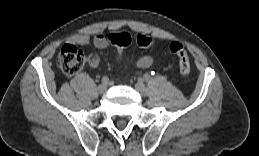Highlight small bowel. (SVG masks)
Wrapping results in <instances>:
<instances>
[{"label": "small bowel", "instance_id": "small-bowel-1", "mask_svg": "<svg viewBox=\"0 0 259 156\" xmlns=\"http://www.w3.org/2000/svg\"><path fill=\"white\" fill-rule=\"evenodd\" d=\"M70 42L79 45H88L92 43L98 49H106L112 44L109 36H105L104 34H96L93 37H90L87 34H76L70 38ZM152 63L153 58L149 55H144L138 59L136 64L140 68H147ZM89 64L92 67H96L99 64V57L97 55H91Z\"/></svg>", "mask_w": 259, "mask_h": 156}]
</instances>
